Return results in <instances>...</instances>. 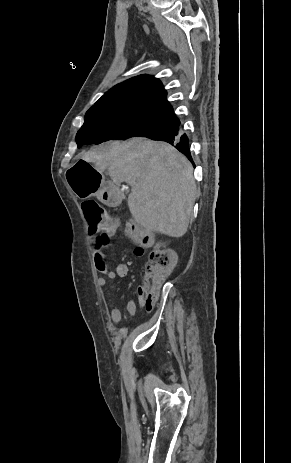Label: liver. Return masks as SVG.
<instances>
[{"label":"liver","mask_w":291,"mask_h":463,"mask_svg":"<svg viewBox=\"0 0 291 463\" xmlns=\"http://www.w3.org/2000/svg\"><path fill=\"white\" fill-rule=\"evenodd\" d=\"M112 184L131 186L128 207L135 221L147 231L182 237L188 229L196 184L188 159L165 142L132 138L112 141L82 154Z\"/></svg>","instance_id":"obj_1"}]
</instances>
